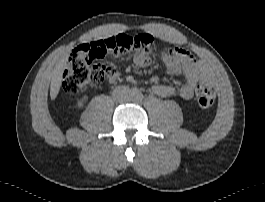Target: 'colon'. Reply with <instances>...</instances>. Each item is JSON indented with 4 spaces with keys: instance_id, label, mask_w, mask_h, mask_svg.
<instances>
[{
    "instance_id": "5ec220e1",
    "label": "colon",
    "mask_w": 265,
    "mask_h": 202,
    "mask_svg": "<svg viewBox=\"0 0 265 202\" xmlns=\"http://www.w3.org/2000/svg\"><path fill=\"white\" fill-rule=\"evenodd\" d=\"M92 47L102 54H123L132 50L152 54L155 50L153 38L146 34L129 36L119 33L93 42ZM118 77L119 70L116 67L99 64L93 56L72 55L62 74V85L66 92L76 94L87 86H99ZM196 97L201 108H210L216 101V90L211 86H200L196 90Z\"/></svg>"
}]
</instances>
